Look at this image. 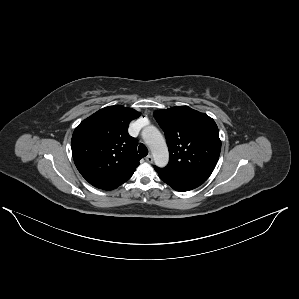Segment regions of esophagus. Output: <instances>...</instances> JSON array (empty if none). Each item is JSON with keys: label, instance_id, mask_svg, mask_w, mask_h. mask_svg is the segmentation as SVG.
<instances>
[{"label": "esophagus", "instance_id": "obj_1", "mask_svg": "<svg viewBox=\"0 0 299 299\" xmlns=\"http://www.w3.org/2000/svg\"><path fill=\"white\" fill-rule=\"evenodd\" d=\"M145 160H146L148 163H152V162H153V157H152V155H148V156H146Z\"/></svg>", "mask_w": 299, "mask_h": 299}]
</instances>
